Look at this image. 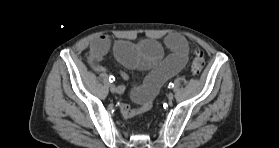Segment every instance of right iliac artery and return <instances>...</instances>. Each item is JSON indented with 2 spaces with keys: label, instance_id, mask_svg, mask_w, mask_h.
Listing matches in <instances>:
<instances>
[{
  "label": "right iliac artery",
  "instance_id": "obj_1",
  "mask_svg": "<svg viewBox=\"0 0 279 148\" xmlns=\"http://www.w3.org/2000/svg\"><path fill=\"white\" fill-rule=\"evenodd\" d=\"M109 81L112 83V82H114L115 81V77L114 76H110L109 77ZM122 90H123V88L121 87L120 89H119V92H122Z\"/></svg>",
  "mask_w": 279,
  "mask_h": 148
}]
</instances>
